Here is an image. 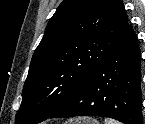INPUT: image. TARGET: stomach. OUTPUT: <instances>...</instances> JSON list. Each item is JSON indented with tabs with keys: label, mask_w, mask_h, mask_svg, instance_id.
Listing matches in <instances>:
<instances>
[{
	"label": "stomach",
	"mask_w": 145,
	"mask_h": 124,
	"mask_svg": "<svg viewBox=\"0 0 145 124\" xmlns=\"http://www.w3.org/2000/svg\"><path fill=\"white\" fill-rule=\"evenodd\" d=\"M73 124H99V123L91 118H82V119H77Z\"/></svg>",
	"instance_id": "obj_1"
}]
</instances>
